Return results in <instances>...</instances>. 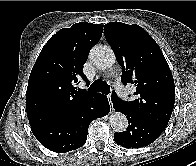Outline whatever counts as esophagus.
<instances>
[{"mask_svg":"<svg viewBox=\"0 0 196 166\" xmlns=\"http://www.w3.org/2000/svg\"><path fill=\"white\" fill-rule=\"evenodd\" d=\"M112 94L110 93V94H108V100H109V103H110V106H111V109H112V111H113V104H112Z\"/></svg>","mask_w":196,"mask_h":166,"instance_id":"1","label":"esophagus"}]
</instances>
